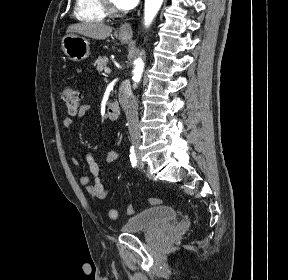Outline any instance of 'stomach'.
<instances>
[{"label":"stomach","instance_id":"stomach-1","mask_svg":"<svg viewBox=\"0 0 288 280\" xmlns=\"http://www.w3.org/2000/svg\"><path fill=\"white\" fill-rule=\"evenodd\" d=\"M122 43L129 41L126 37H119ZM62 50L72 61H82L90 54L89 42L87 39L74 34H68L62 39Z\"/></svg>","mask_w":288,"mask_h":280}]
</instances>
